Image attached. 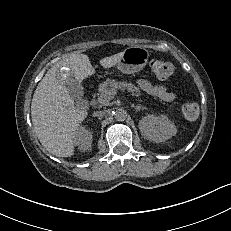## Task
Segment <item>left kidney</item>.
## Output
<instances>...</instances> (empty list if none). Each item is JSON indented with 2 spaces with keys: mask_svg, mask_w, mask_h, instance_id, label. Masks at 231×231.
<instances>
[{
  "mask_svg": "<svg viewBox=\"0 0 231 231\" xmlns=\"http://www.w3.org/2000/svg\"><path fill=\"white\" fill-rule=\"evenodd\" d=\"M141 133L149 140L160 143L176 135L175 124L166 115H147L139 121Z\"/></svg>",
  "mask_w": 231,
  "mask_h": 231,
  "instance_id": "left-kidney-1",
  "label": "left kidney"
}]
</instances>
